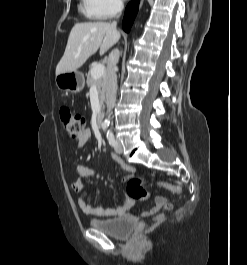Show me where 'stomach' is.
Wrapping results in <instances>:
<instances>
[{
  "mask_svg": "<svg viewBox=\"0 0 247 265\" xmlns=\"http://www.w3.org/2000/svg\"><path fill=\"white\" fill-rule=\"evenodd\" d=\"M55 84L61 91L76 94L84 88L85 79L84 75L76 70L56 75Z\"/></svg>",
  "mask_w": 247,
  "mask_h": 265,
  "instance_id": "obj_1",
  "label": "stomach"
}]
</instances>
